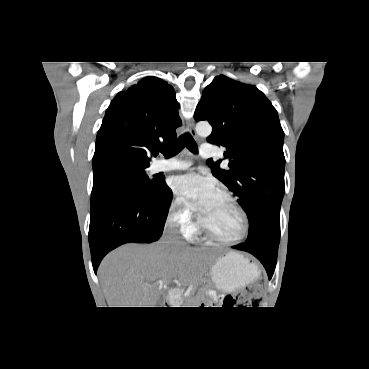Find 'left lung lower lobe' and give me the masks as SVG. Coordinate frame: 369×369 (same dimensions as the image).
Here are the masks:
<instances>
[{"mask_svg":"<svg viewBox=\"0 0 369 369\" xmlns=\"http://www.w3.org/2000/svg\"><path fill=\"white\" fill-rule=\"evenodd\" d=\"M279 242L261 241L256 243L244 242L233 246L235 249L243 250L254 255L265 267L269 279H271L277 260Z\"/></svg>","mask_w":369,"mask_h":369,"instance_id":"0a47b994","label":"left lung lower lobe"}]
</instances>
